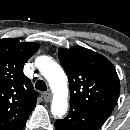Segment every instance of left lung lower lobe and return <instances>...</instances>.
Returning <instances> with one entry per match:
<instances>
[{
    "label": "left lung lower lobe",
    "instance_id": "left-lung-lower-lobe-1",
    "mask_svg": "<svg viewBox=\"0 0 130 130\" xmlns=\"http://www.w3.org/2000/svg\"><path fill=\"white\" fill-rule=\"evenodd\" d=\"M107 120L93 110L71 107L66 118L55 122L56 130H97Z\"/></svg>",
    "mask_w": 130,
    "mask_h": 130
}]
</instances>
